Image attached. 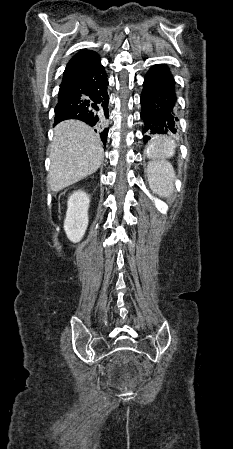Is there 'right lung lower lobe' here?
<instances>
[{
	"label": "right lung lower lobe",
	"instance_id": "obj_1",
	"mask_svg": "<svg viewBox=\"0 0 233 449\" xmlns=\"http://www.w3.org/2000/svg\"><path fill=\"white\" fill-rule=\"evenodd\" d=\"M108 79L100 61L80 78L61 84L55 107V124L78 119L93 127L104 145L108 135Z\"/></svg>",
	"mask_w": 233,
	"mask_h": 449
}]
</instances>
